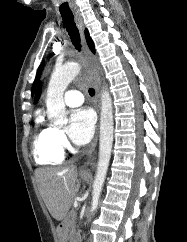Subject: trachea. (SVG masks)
I'll use <instances>...</instances> for the list:
<instances>
[{
    "label": "trachea",
    "mask_w": 187,
    "mask_h": 242,
    "mask_svg": "<svg viewBox=\"0 0 187 242\" xmlns=\"http://www.w3.org/2000/svg\"><path fill=\"white\" fill-rule=\"evenodd\" d=\"M61 16L63 19L64 27L66 28L73 45L78 51H81L80 35L72 12H61ZM89 95H95V90L93 88L89 89Z\"/></svg>",
    "instance_id": "trachea-1"
}]
</instances>
